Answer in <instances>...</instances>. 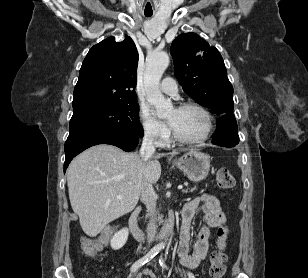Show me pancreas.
Masks as SVG:
<instances>
[{
  "instance_id": "pancreas-1",
  "label": "pancreas",
  "mask_w": 308,
  "mask_h": 278,
  "mask_svg": "<svg viewBox=\"0 0 308 278\" xmlns=\"http://www.w3.org/2000/svg\"><path fill=\"white\" fill-rule=\"evenodd\" d=\"M196 188H191V189H187V190H183L184 193H188V192H193ZM159 219L161 220V217H159Z\"/></svg>"
}]
</instances>
